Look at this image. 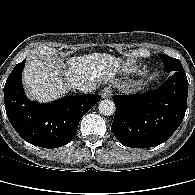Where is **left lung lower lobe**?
Here are the masks:
<instances>
[{
	"label": "left lung lower lobe",
	"mask_w": 195,
	"mask_h": 195,
	"mask_svg": "<svg viewBox=\"0 0 195 195\" xmlns=\"http://www.w3.org/2000/svg\"><path fill=\"white\" fill-rule=\"evenodd\" d=\"M185 71H174L157 90L115 95L116 113L111 131L133 148H149L168 140L181 124L187 108Z\"/></svg>",
	"instance_id": "1"
}]
</instances>
